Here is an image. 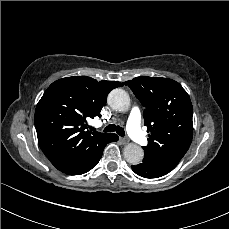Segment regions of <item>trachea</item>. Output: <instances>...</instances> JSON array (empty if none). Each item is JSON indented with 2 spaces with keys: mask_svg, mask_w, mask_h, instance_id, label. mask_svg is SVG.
I'll return each mask as SVG.
<instances>
[{
  "mask_svg": "<svg viewBox=\"0 0 229 229\" xmlns=\"http://www.w3.org/2000/svg\"><path fill=\"white\" fill-rule=\"evenodd\" d=\"M103 132H116L121 137L125 136V131L122 127L116 126L114 124H109L103 129Z\"/></svg>",
  "mask_w": 229,
  "mask_h": 229,
  "instance_id": "3493384b",
  "label": "trachea"
}]
</instances>
